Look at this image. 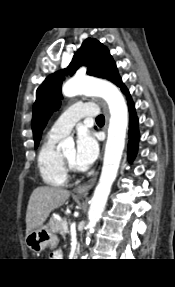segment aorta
<instances>
[{"label": "aorta", "mask_w": 175, "mask_h": 287, "mask_svg": "<svg viewBox=\"0 0 175 287\" xmlns=\"http://www.w3.org/2000/svg\"><path fill=\"white\" fill-rule=\"evenodd\" d=\"M62 93L67 97H73L80 93L98 95L107 102L110 111L103 167L88 212L89 222L87 225L86 243L89 244L90 234L94 231V227L105 209L111 186L117 176L125 145L126 129L128 126V109L120 90L112 83L106 81L73 78L64 84ZM60 146L63 149L65 147H73L74 142L71 139H66Z\"/></svg>", "instance_id": "aorta-1"}]
</instances>
